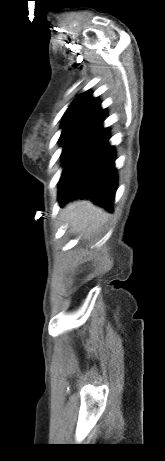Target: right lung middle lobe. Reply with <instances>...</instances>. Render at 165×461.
Here are the masks:
<instances>
[{
    "mask_svg": "<svg viewBox=\"0 0 165 461\" xmlns=\"http://www.w3.org/2000/svg\"><path fill=\"white\" fill-rule=\"evenodd\" d=\"M104 119L92 116H75L63 119L60 143L64 170L78 157L87 144L103 130ZM63 170V172H64Z\"/></svg>",
    "mask_w": 165,
    "mask_h": 461,
    "instance_id": "obj_1",
    "label": "right lung middle lobe"
}]
</instances>
